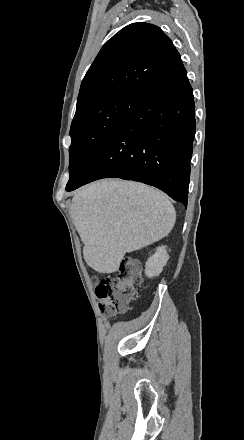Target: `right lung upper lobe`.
Returning <instances> with one entry per match:
<instances>
[{"mask_svg": "<svg viewBox=\"0 0 244 440\" xmlns=\"http://www.w3.org/2000/svg\"><path fill=\"white\" fill-rule=\"evenodd\" d=\"M181 66L180 54L159 27L130 24L101 48L82 81L77 105L117 95L142 97Z\"/></svg>", "mask_w": 244, "mask_h": 440, "instance_id": "obj_1", "label": "right lung upper lobe"}]
</instances>
